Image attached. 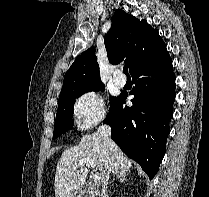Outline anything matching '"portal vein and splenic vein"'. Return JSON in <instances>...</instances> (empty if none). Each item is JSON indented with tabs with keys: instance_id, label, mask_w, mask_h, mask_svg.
Wrapping results in <instances>:
<instances>
[{
	"instance_id": "18ae733b",
	"label": "portal vein and splenic vein",
	"mask_w": 209,
	"mask_h": 197,
	"mask_svg": "<svg viewBox=\"0 0 209 197\" xmlns=\"http://www.w3.org/2000/svg\"><path fill=\"white\" fill-rule=\"evenodd\" d=\"M84 165H87V166H90L92 168H95L96 164L94 162L93 159H90V158H85V159H82L78 165L76 166V168L80 167V166H84ZM93 180L94 182H100L101 180V176L99 174H94L93 176Z\"/></svg>"
}]
</instances>
